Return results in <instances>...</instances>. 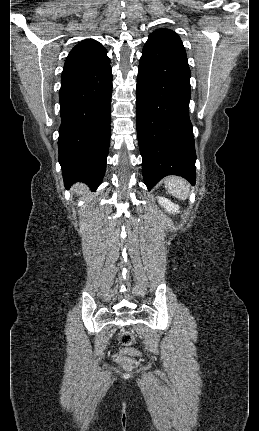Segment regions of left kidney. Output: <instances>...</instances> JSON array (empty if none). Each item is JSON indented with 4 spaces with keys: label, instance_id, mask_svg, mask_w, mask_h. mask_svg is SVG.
<instances>
[{
    "label": "left kidney",
    "instance_id": "5707ae66",
    "mask_svg": "<svg viewBox=\"0 0 259 431\" xmlns=\"http://www.w3.org/2000/svg\"><path fill=\"white\" fill-rule=\"evenodd\" d=\"M158 202L159 204L165 208V210L169 213H177L179 210V206L174 204L173 202H171L169 199L165 198V197H158Z\"/></svg>",
    "mask_w": 259,
    "mask_h": 431
}]
</instances>
